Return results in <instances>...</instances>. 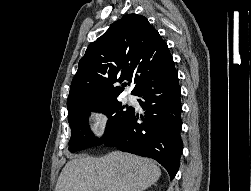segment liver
I'll use <instances>...</instances> for the list:
<instances>
[{
  "label": "liver",
  "mask_w": 251,
  "mask_h": 191,
  "mask_svg": "<svg viewBox=\"0 0 251 191\" xmlns=\"http://www.w3.org/2000/svg\"><path fill=\"white\" fill-rule=\"evenodd\" d=\"M160 175L152 159L124 151L104 157L74 155L63 167L55 191H143Z\"/></svg>",
  "instance_id": "liver-1"
}]
</instances>
